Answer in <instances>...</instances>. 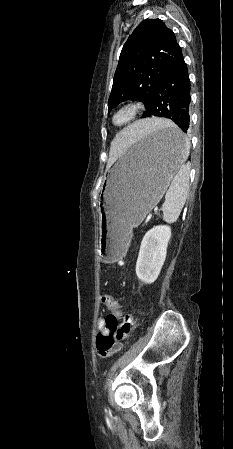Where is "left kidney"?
Segmentation results:
<instances>
[{
    "mask_svg": "<svg viewBox=\"0 0 233 449\" xmlns=\"http://www.w3.org/2000/svg\"><path fill=\"white\" fill-rule=\"evenodd\" d=\"M170 238L171 228L168 225L154 226L144 235L136 262V275L145 284H151L158 278Z\"/></svg>",
    "mask_w": 233,
    "mask_h": 449,
    "instance_id": "left-kidney-1",
    "label": "left kidney"
}]
</instances>
